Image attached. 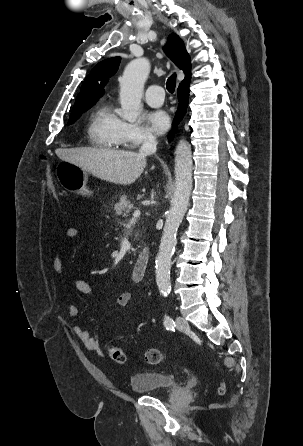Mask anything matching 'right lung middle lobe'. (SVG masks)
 Returning a JSON list of instances; mask_svg holds the SVG:
<instances>
[{
	"label": "right lung middle lobe",
	"mask_w": 303,
	"mask_h": 446,
	"mask_svg": "<svg viewBox=\"0 0 303 446\" xmlns=\"http://www.w3.org/2000/svg\"><path fill=\"white\" fill-rule=\"evenodd\" d=\"M93 105L94 103L73 109L68 124H73L83 112L90 109Z\"/></svg>",
	"instance_id": "1"
}]
</instances>
